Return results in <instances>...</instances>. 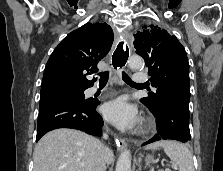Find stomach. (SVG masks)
I'll return each mask as SVG.
<instances>
[{
    "instance_id": "obj_1",
    "label": "stomach",
    "mask_w": 223,
    "mask_h": 171,
    "mask_svg": "<svg viewBox=\"0 0 223 171\" xmlns=\"http://www.w3.org/2000/svg\"><path fill=\"white\" fill-rule=\"evenodd\" d=\"M146 165H150L152 162H154V159L151 155L147 156L145 159Z\"/></svg>"
}]
</instances>
